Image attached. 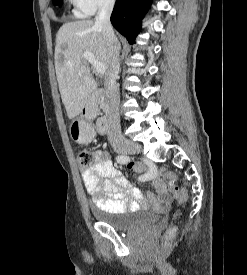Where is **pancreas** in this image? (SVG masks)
Here are the masks:
<instances>
[{"instance_id":"cf45deb5","label":"pancreas","mask_w":247,"mask_h":275,"mask_svg":"<svg viewBox=\"0 0 247 275\" xmlns=\"http://www.w3.org/2000/svg\"><path fill=\"white\" fill-rule=\"evenodd\" d=\"M99 104H100V108L102 109V110H106L107 109V103L105 102V100L103 99V98H100L99 99Z\"/></svg>"}]
</instances>
